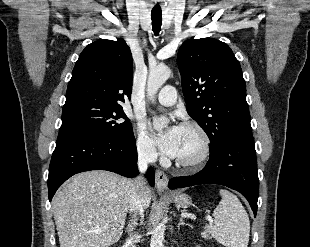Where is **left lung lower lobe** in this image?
I'll list each match as a JSON object with an SVG mask.
<instances>
[{"label":"left lung lower lobe","mask_w":310,"mask_h":247,"mask_svg":"<svg viewBox=\"0 0 310 247\" xmlns=\"http://www.w3.org/2000/svg\"><path fill=\"white\" fill-rule=\"evenodd\" d=\"M204 183L221 184L240 192L256 216L259 179L253 135L231 138L210 150V159L203 170L193 176L174 177L168 186L174 189Z\"/></svg>","instance_id":"obj_1"}]
</instances>
